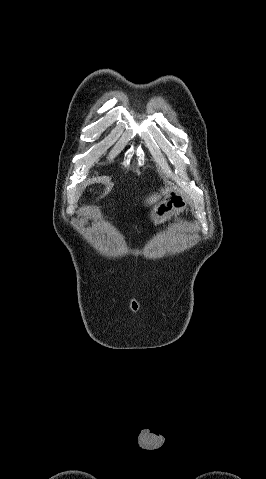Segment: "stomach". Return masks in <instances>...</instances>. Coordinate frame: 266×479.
Segmentation results:
<instances>
[{
  "label": "stomach",
  "instance_id": "obj_1",
  "mask_svg": "<svg viewBox=\"0 0 266 479\" xmlns=\"http://www.w3.org/2000/svg\"><path fill=\"white\" fill-rule=\"evenodd\" d=\"M187 207V199L178 191L172 190L166 193L164 198L155 204L150 212V216L155 224H162L167 222L171 217L186 210Z\"/></svg>",
  "mask_w": 266,
  "mask_h": 479
}]
</instances>
